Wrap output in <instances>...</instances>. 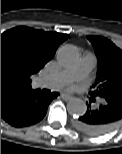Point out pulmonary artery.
Listing matches in <instances>:
<instances>
[{
	"label": "pulmonary artery",
	"mask_w": 122,
	"mask_h": 154,
	"mask_svg": "<svg viewBox=\"0 0 122 154\" xmlns=\"http://www.w3.org/2000/svg\"><path fill=\"white\" fill-rule=\"evenodd\" d=\"M97 65V57L92 53H86L74 66L61 70L55 74L45 75L40 78L41 87L58 89L72 81L85 79Z\"/></svg>",
	"instance_id": "pulmonary-artery-1"
}]
</instances>
